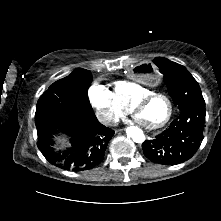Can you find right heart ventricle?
I'll return each instance as SVG.
<instances>
[{"instance_id": "right-heart-ventricle-1", "label": "right heart ventricle", "mask_w": 221, "mask_h": 221, "mask_svg": "<svg viewBox=\"0 0 221 221\" xmlns=\"http://www.w3.org/2000/svg\"><path fill=\"white\" fill-rule=\"evenodd\" d=\"M113 88L116 98L126 108H131L136 100L152 92L149 88L131 80L116 81L113 85Z\"/></svg>"}]
</instances>
